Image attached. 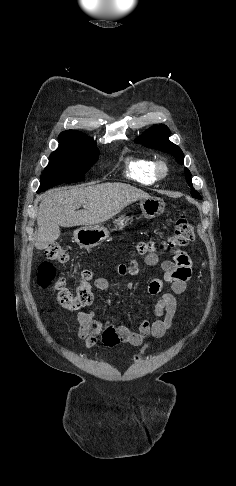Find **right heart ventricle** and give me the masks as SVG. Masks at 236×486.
<instances>
[{"label":"right heart ventricle","instance_id":"e07e8e85","mask_svg":"<svg viewBox=\"0 0 236 486\" xmlns=\"http://www.w3.org/2000/svg\"><path fill=\"white\" fill-rule=\"evenodd\" d=\"M155 161L149 157H132L127 160L126 174L132 180L150 185L157 181L154 172Z\"/></svg>","mask_w":236,"mask_h":486}]
</instances>
